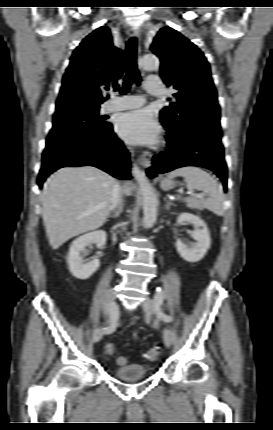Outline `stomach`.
<instances>
[{
    "label": "stomach",
    "instance_id": "obj_1",
    "mask_svg": "<svg viewBox=\"0 0 273 430\" xmlns=\"http://www.w3.org/2000/svg\"><path fill=\"white\" fill-rule=\"evenodd\" d=\"M160 185H161V188L163 190H169V189H171V188L174 187L175 182L172 179H170V178H162L161 182H160ZM194 203L196 204L195 201H194Z\"/></svg>",
    "mask_w": 273,
    "mask_h": 430
}]
</instances>
